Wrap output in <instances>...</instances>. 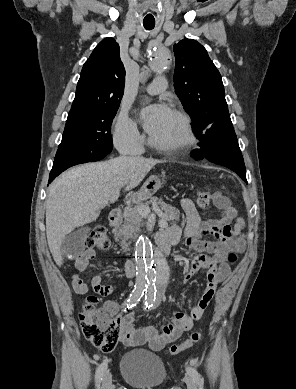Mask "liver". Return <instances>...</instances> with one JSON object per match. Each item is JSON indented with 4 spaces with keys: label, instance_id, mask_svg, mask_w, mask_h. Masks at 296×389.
<instances>
[{
    "label": "liver",
    "instance_id": "1",
    "mask_svg": "<svg viewBox=\"0 0 296 389\" xmlns=\"http://www.w3.org/2000/svg\"><path fill=\"white\" fill-rule=\"evenodd\" d=\"M159 160L120 156L74 167L50 186L46 199V234L50 252L63 264L61 244L76 227L95 221L116 192L137 187Z\"/></svg>",
    "mask_w": 296,
    "mask_h": 389
}]
</instances>
